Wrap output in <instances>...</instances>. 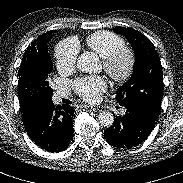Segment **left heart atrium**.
Returning <instances> with one entry per match:
<instances>
[{
	"label": "left heart atrium",
	"instance_id": "left-heart-atrium-1",
	"mask_svg": "<svg viewBox=\"0 0 183 183\" xmlns=\"http://www.w3.org/2000/svg\"><path fill=\"white\" fill-rule=\"evenodd\" d=\"M76 93L87 102H96L100 94L107 88V82L102 76H87L73 82Z\"/></svg>",
	"mask_w": 183,
	"mask_h": 183
}]
</instances>
